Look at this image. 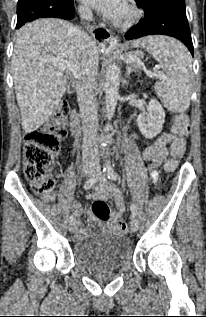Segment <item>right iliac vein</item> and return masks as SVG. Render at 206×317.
<instances>
[{
  "label": "right iliac vein",
  "mask_w": 206,
  "mask_h": 317,
  "mask_svg": "<svg viewBox=\"0 0 206 317\" xmlns=\"http://www.w3.org/2000/svg\"><path fill=\"white\" fill-rule=\"evenodd\" d=\"M86 175H87L88 177H90V176L93 175V172H92V171H87V172H86ZM69 231H70V233H74V232L76 231V224H75V222H72V223L69 224Z\"/></svg>",
  "instance_id": "1"
}]
</instances>
